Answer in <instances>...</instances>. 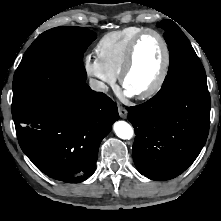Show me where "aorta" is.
Returning a JSON list of instances; mask_svg holds the SVG:
<instances>
[{
    "mask_svg": "<svg viewBox=\"0 0 221 221\" xmlns=\"http://www.w3.org/2000/svg\"><path fill=\"white\" fill-rule=\"evenodd\" d=\"M115 134L124 140H129L133 136V128L125 121H117L113 125Z\"/></svg>",
    "mask_w": 221,
    "mask_h": 221,
    "instance_id": "1",
    "label": "aorta"
}]
</instances>
